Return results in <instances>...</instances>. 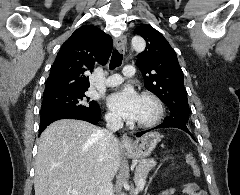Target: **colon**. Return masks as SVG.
Listing matches in <instances>:
<instances>
[{"label": "colon", "mask_w": 240, "mask_h": 195, "mask_svg": "<svg viewBox=\"0 0 240 195\" xmlns=\"http://www.w3.org/2000/svg\"><path fill=\"white\" fill-rule=\"evenodd\" d=\"M175 157V156H174ZM162 159L165 161L167 158V154L163 153L162 154ZM186 164L190 165V169H193V175L197 176L198 175V163L193 162V158H191V154H186ZM168 170L172 171L173 170V159L169 158L168 159ZM197 195H204L203 192H197Z\"/></svg>", "instance_id": "obj_1"}]
</instances>
